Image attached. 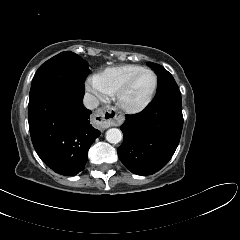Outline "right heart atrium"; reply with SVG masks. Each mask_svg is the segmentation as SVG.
<instances>
[{
    "mask_svg": "<svg viewBox=\"0 0 240 240\" xmlns=\"http://www.w3.org/2000/svg\"><path fill=\"white\" fill-rule=\"evenodd\" d=\"M87 87L90 91H92L94 94H96L100 98H104L106 95V92L99 85V82L96 76L88 79Z\"/></svg>",
    "mask_w": 240,
    "mask_h": 240,
    "instance_id": "d8ad5b80",
    "label": "right heart atrium"
}]
</instances>
